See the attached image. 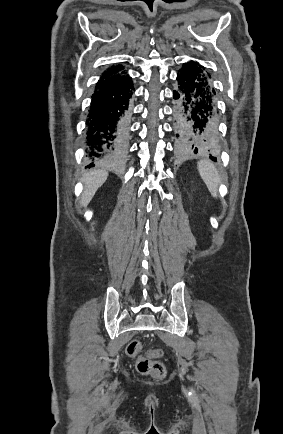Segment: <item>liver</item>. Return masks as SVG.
Listing matches in <instances>:
<instances>
[{
    "instance_id": "6515ba94",
    "label": "liver",
    "mask_w": 283,
    "mask_h": 434,
    "mask_svg": "<svg viewBox=\"0 0 283 434\" xmlns=\"http://www.w3.org/2000/svg\"><path fill=\"white\" fill-rule=\"evenodd\" d=\"M108 176V172L103 170H97L86 174L83 177V182L85 184V189L82 194L80 205L86 207L87 204L91 201L94 194L98 190L99 187L103 185Z\"/></svg>"
}]
</instances>
